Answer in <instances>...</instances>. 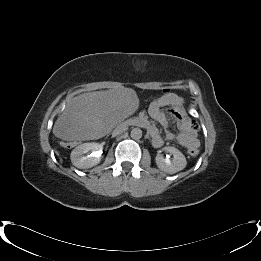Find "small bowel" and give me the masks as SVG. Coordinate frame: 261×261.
Instances as JSON below:
<instances>
[{"label": "small bowel", "instance_id": "c3829d8e", "mask_svg": "<svg viewBox=\"0 0 261 261\" xmlns=\"http://www.w3.org/2000/svg\"><path fill=\"white\" fill-rule=\"evenodd\" d=\"M166 108L170 109V113L166 111ZM149 116L155 122L165 127L169 125L170 117L175 118L181 131L178 134L167 132L165 134L166 139L175 140L180 145L187 148L191 146H199L197 130L193 127L191 120L186 116L181 99L177 95L166 93L158 100L152 102L149 107ZM180 118L185 120L184 124L179 121ZM137 123L146 126L152 137L154 146L160 147L163 144V139L155 125L151 124L146 118L143 117H138Z\"/></svg>", "mask_w": 261, "mask_h": 261}]
</instances>
